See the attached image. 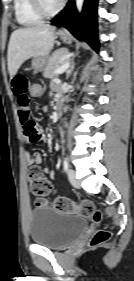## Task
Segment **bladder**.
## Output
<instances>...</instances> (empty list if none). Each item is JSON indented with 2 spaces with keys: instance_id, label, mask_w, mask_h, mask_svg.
Instances as JSON below:
<instances>
[{
  "instance_id": "bladder-1",
  "label": "bladder",
  "mask_w": 134,
  "mask_h": 281,
  "mask_svg": "<svg viewBox=\"0 0 134 281\" xmlns=\"http://www.w3.org/2000/svg\"><path fill=\"white\" fill-rule=\"evenodd\" d=\"M85 217L48 207L34 208L30 216V238L33 243L54 250L72 244L87 228Z\"/></svg>"
}]
</instances>
